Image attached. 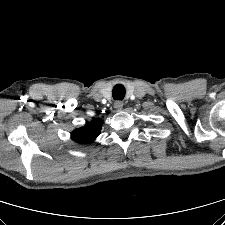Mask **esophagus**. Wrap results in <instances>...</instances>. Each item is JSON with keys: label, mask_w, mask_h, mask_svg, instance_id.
Here are the masks:
<instances>
[{"label": "esophagus", "mask_w": 225, "mask_h": 225, "mask_svg": "<svg viewBox=\"0 0 225 225\" xmlns=\"http://www.w3.org/2000/svg\"><path fill=\"white\" fill-rule=\"evenodd\" d=\"M114 107H115L116 109H118V110L122 109V107H123V102H122V101H116V102L114 103Z\"/></svg>", "instance_id": "obj_1"}]
</instances>
